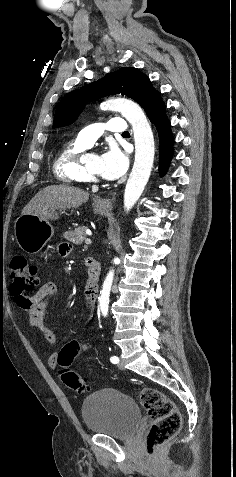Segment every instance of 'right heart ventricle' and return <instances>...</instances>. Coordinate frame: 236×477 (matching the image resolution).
Here are the masks:
<instances>
[{
    "label": "right heart ventricle",
    "mask_w": 236,
    "mask_h": 477,
    "mask_svg": "<svg viewBox=\"0 0 236 477\" xmlns=\"http://www.w3.org/2000/svg\"><path fill=\"white\" fill-rule=\"evenodd\" d=\"M88 147L77 141L69 143L58 155L54 163L57 178L68 184H84L89 182L80 155Z\"/></svg>",
    "instance_id": "right-heart-ventricle-1"
}]
</instances>
